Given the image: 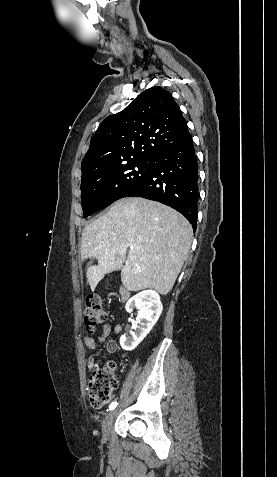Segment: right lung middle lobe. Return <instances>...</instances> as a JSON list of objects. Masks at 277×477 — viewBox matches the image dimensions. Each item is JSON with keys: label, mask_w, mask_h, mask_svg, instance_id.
I'll list each match as a JSON object with an SVG mask.
<instances>
[{"label": "right lung middle lobe", "mask_w": 277, "mask_h": 477, "mask_svg": "<svg viewBox=\"0 0 277 477\" xmlns=\"http://www.w3.org/2000/svg\"><path fill=\"white\" fill-rule=\"evenodd\" d=\"M151 167V161H133L82 171L81 203L84 218L123 198L144 179Z\"/></svg>", "instance_id": "dd1d6c3e"}]
</instances>
